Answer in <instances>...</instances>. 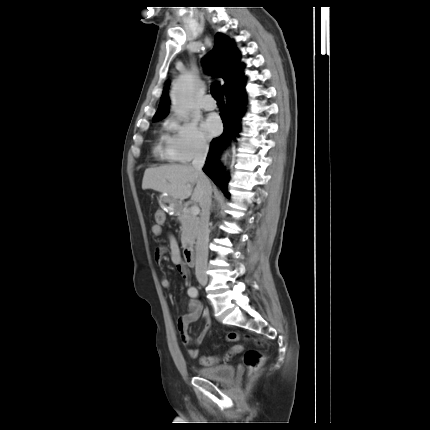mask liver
<instances>
[{
    "instance_id": "6515ba94",
    "label": "liver",
    "mask_w": 430,
    "mask_h": 430,
    "mask_svg": "<svg viewBox=\"0 0 430 430\" xmlns=\"http://www.w3.org/2000/svg\"><path fill=\"white\" fill-rule=\"evenodd\" d=\"M142 189H153L173 199L184 200L191 196L192 201L198 204L204 194L198 173L191 165L172 164L148 168L144 172Z\"/></svg>"
}]
</instances>
